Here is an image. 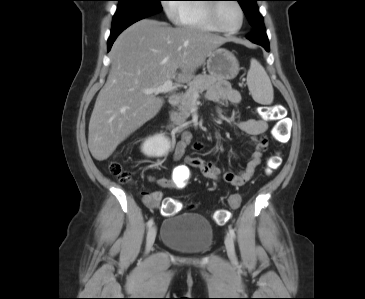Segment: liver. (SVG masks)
<instances>
[{
  "mask_svg": "<svg viewBox=\"0 0 365 299\" xmlns=\"http://www.w3.org/2000/svg\"><path fill=\"white\" fill-rule=\"evenodd\" d=\"M230 39L194 27L144 19L127 28L111 50V70L89 122L92 156L108 159L130 134L157 115L163 99L145 89L174 79L190 82L206 57ZM180 69V73L177 70Z\"/></svg>",
  "mask_w": 365,
  "mask_h": 299,
  "instance_id": "liver-1",
  "label": "liver"
}]
</instances>
